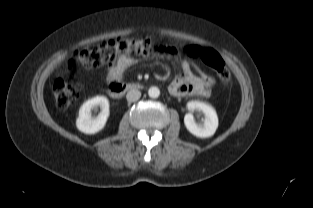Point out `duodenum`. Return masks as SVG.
<instances>
[{"mask_svg": "<svg viewBox=\"0 0 313 208\" xmlns=\"http://www.w3.org/2000/svg\"><path fill=\"white\" fill-rule=\"evenodd\" d=\"M140 87L141 85L135 82H112L108 86V92L113 97H121L127 91Z\"/></svg>", "mask_w": 313, "mask_h": 208, "instance_id": "duodenum-1", "label": "duodenum"}]
</instances>
